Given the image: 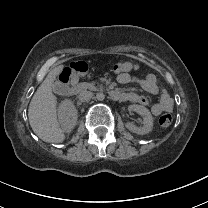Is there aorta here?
<instances>
[{
	"instance_id": "762f6f07",
	"label": "aorta",
	"mask_w": 208,
	"mask_h": 208,
	"mask_svg": "<svg viewBox=\"0 0 208 208\" xmlns=\"http://www.w3.org/2000/svg\"><path fill=\"white\" fill-rule=\"evenodd\" d=\"M106 99H107V96H106V94L103 93V92H100V93H98V94L96 95V100H97L98 102H100V103L105 102Z\"/></svg>"
}]
</instances>
